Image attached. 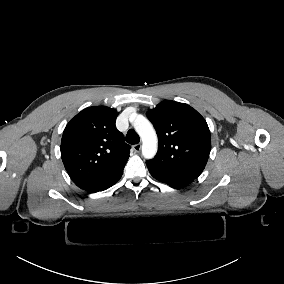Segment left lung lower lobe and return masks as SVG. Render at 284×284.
Returning a JSON list of instances; mask_svg holds the SVG:
<instances>
[{"instance_id": "1", "label": "left lung lower lobe", "mask_w": 284, "mask_h": 284, "mask_svg": "<svg viewBox=\"0 0 284 284\" xmlns=\"http://www.w3.org/2000/svg\"><path fill=\"white\" fill-rule=\"evenodd\" d=\"M150 174L157 179L158 181L162 183H166L173 187H183L186 186L194 181V179L180 176V175H174L171 173H167L165 171L156 169L150 165H147Z\"/></svg>"}]
</instances>
